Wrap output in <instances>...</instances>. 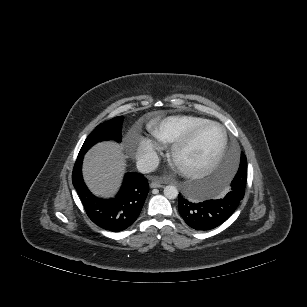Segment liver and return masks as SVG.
Segmentation results:
<instances>
[{"label":"liver","mask_w":307,"mask_h":307,"mask_svg":"<svg viewBox=\"0 0 307 307\" xmlns=\"http://www.w3.org/2000/svg\"><path fill=\"white\" fill-rule=\"evenodd\" d=\"M125 166V155L117 144L99 143L85 155L83 177L95 195L110 197L121 184Z\"/></svg>","instance_id":"obj_1"}]
</instances>
